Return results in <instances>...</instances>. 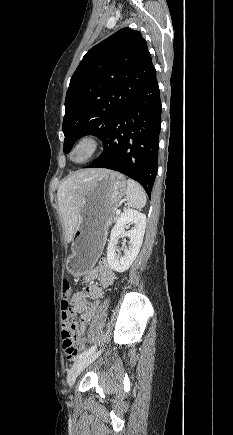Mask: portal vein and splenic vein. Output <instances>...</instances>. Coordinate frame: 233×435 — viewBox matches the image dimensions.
<instances>
[{"label": "portal vein and splenic vein", "mask_w": 233, "mask_h": 435, "mask_svg": "<svg viewBox=\"0 0 233 435\" xmlns=\"http://www.w3.org/2000/svg\"><path fill=\"white\" fill-rule=\"evenodd\" d=\"M117 213L119 214V213H120V210H117Z\"/></svg>", "instance_id": "1"}]
</instances>
